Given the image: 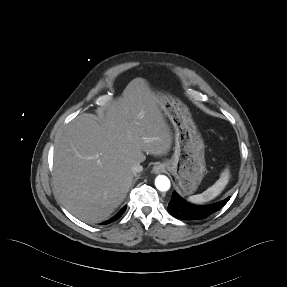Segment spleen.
<instances>
[{
	"label": "spleen",
	"mask_w": 287,
	"mask_h": 287,
	"mask_svg": "<svg viewBox=\"0 0 287 287\" xmlns=\"http://www.w3.org/2000/svg\"><path fill=\"white\" fill-rule=\"evenodd\" d=\"M229 178H230V172L229 169L226 168L221 173L220 178L211 187H209L201 194L192 195L188 197V200L195 204H201L214 199L222 192V190L228 184Z\"/></svg>",
	"instance_id": "spleen-1"
}]
</instances>
